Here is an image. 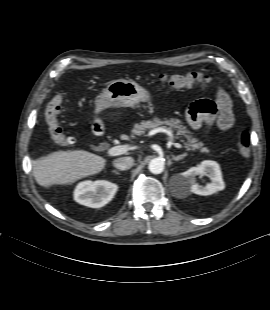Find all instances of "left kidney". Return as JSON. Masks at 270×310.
Listing matches in <instances>:
<instances>
[{"label":"left kidney","instance_id":"left-kidney-1","mask_svg":"<svg viewBox=\"0 0 270 310\" xmlns=\"http://www.w3.org/2000/svg\"><path fill=\"white\" fill-rule=\"evenodd\" d=\"M197 175H206L211 179V183L205 186L199 185L196 181ZM180 185L185 192H192L197 195H212L225 188L220 166L211 160L202 161L197 167H191L180 176Z\"/></svg>","mask_w":270,"mask_h":310}]
</instances>
